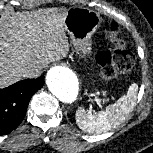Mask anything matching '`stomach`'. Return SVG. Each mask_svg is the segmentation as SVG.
Instances as JSON below:
<instances>
[{"instance_id": "0dacf381", "label": "stomach", "mask_w": 153, "mask_h": 153, "mask_svg": "<svg viewBox=\"0 0 153 153\" xmlns=\"http://www.w3.org/2000/svg\"><path fill=\"white\" fill-rule=\"evenodd\" d=\"M99 18L95 14L72 8L64 17V29L79 58L92 54V35L99 27Z\"/></svg>"}]
</instances>
